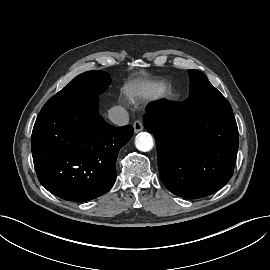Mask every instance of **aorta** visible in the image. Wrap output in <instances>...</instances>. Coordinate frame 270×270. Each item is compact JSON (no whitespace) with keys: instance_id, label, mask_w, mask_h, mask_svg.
I'll return each mask as SVG.
<instances>
[{"instance_id":"762f6f07","label":"aorta","mask_w":270,"mask_h":270,"mask_svg":"<svg viewBox=\"0 0 270 270\" xmlns=\"http://www.w3.org/2000/svg\"><path fill=\"white\" fill-rule=\"evenodd\" d=\"M153 138L147 132L139 133L135 138V146L142 152H148L153 148Z\"/></svg>"}]
</instances>
